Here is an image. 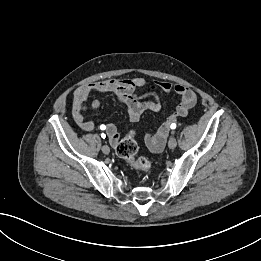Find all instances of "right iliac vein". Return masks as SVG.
Wrapping results in <instances>:
<instances>
[{
	"label": "right iliac vein",
	"instance_id": "1",
	"mask_svg": "<svg viewBox=\"0 0 261 261\" xmlns=\"http://www.w3.org/2000/svg\"><path fill=\"white\" fill-rule=\"evenodd\" d=\"M102 152H103L104 154H109V152H110L109 146L103 145V146H102Z\"/></svg>",
	"mask_w": 261,
	"mask_h": 261
}]
</instances>
